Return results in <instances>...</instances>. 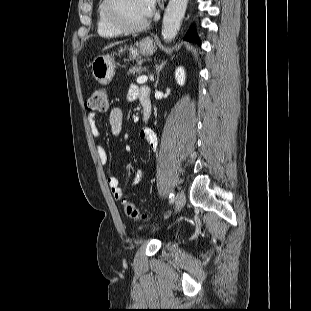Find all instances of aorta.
Instances as JSON below:
<instances>
[{
    "instance_id": "aorta-1",
    "label": "aorta",
    "mask_w": 311,
    "mask_h": 311,
    "mask_svg": "<svg viewBox=\"0 0 311 311\" xmlns=\"http://www.w3.org/2000/svg\"><path fill=\"white\" fill-rule=\"evenodd\" d=\"M187 4L188 0H169L162 22V37L166 42L177 35Z\"/></svg>"
}]
</instances>
